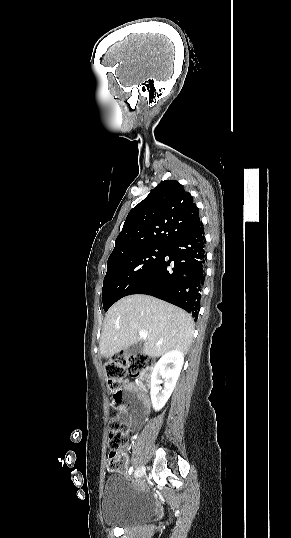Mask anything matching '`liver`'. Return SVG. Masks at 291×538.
<instances>
[{"instance_id":"liver-1","label":"liver","mask_w":291,"mask_h":538,"mask_svg":"<svg viewBox=\"0 0 291 538\" xmlns=\"http://www.w3.org/2000/svg\"><path fill=\"white\" fill-rule=\"evenodd\" d=\"M147 333L143 354L159 357L171 350L186 354L192 343L194 321L184 310L154 298L136 294L122 298L106 313L99 348L103 357L140 342Z\"/></svg>"}]
</instances>
